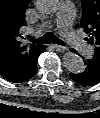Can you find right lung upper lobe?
<instances>
[{"label":"right lung upper lobe","instance_id":"obj_1","mask_svg":"<svg viewBox=\"0 0 100 118\" xmlns=\"http://www.w3.org/2000/svg\"><path fill=\"white\" fill-rule=\"evenodd\" d=\"M27 5L28 0H0V73L19 66L37 46L20 42Z\"/></svg>","mask_w":100,"mask_h":118}]
</instances>
